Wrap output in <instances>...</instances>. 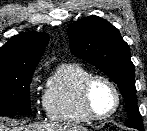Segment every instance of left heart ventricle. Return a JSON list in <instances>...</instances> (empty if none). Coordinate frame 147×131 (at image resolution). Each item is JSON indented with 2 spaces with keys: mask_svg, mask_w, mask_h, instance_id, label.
Here are the masks:
<instances>
[{
  "mask_svg": "<svg viewBox=\"0 0 147 131\" xmlns=\"http://www.w3.org/2000/svg\"><path fill=\"white\" fill-rule=\"evenodd\" d=\"M91 105L98 115H105L115 106V95L111 87L104 81H96L90 93Z\"/></svg>",
  "mask_w": 147,
  "mask_h": 131,
  "instance_id": "left-heart-ventricle-1",
  "label": "left heart ventricle"
}]
</instances>
